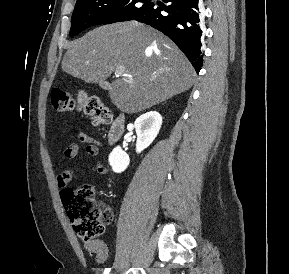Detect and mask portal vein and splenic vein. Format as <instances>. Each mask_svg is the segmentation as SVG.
Wrapping results in <instances>:
<instances>
[{
	"instance_id": "18ae733b",
	"label": "portal vein and splenic vein",
	"mask_w": 289,
	"mask_h": 274,
	"mask_svg": "<svg viewBox=\"0 0 289 274\" xmlns=\"http://www.w3.org/2000/svg\"><path fill=\"white\" fill-rule=\"evenodd\" d=\"M125 72V68L123 66H119L115 69V73L118 76H123Z\"/></svg>"
}]
</instances>
